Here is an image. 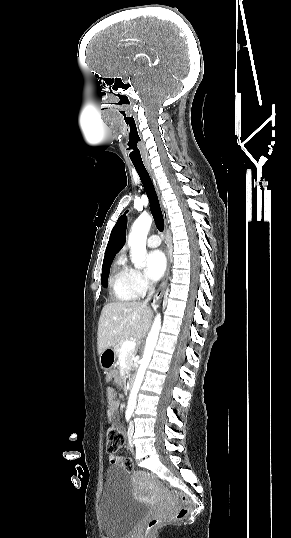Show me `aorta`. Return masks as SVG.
<instances>
[{"instance_id":"obj_1","label":"aorta","mask_w":291,"mask_h":538,"mask_svg":"<svg viewBox=\"0 0 291 538\" xmlns=\"http://www.w3.org/2000/svg\"><path fill=\"white\" fill-rule=\"evenodd\" d=\"M152 224V218L148 215H140L134 222L132 231L128 238V245L131 248V261L136 267H142L146 253V238L149 229ZM161 328V316L157 314L154 319L151 330L146 339V345L143 353V357L140 360V365L136 374L133 387L131 389L126 413L132 414L136 406L137 395L144 379L146 369L151 361L152 354L154 352L159 332Z\"/></svg>"}]
</instances>
